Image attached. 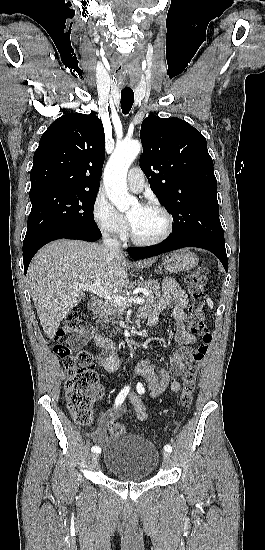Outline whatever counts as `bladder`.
I'll use <instances>...</instances> for the list:
<instances>
[{"label": "bladder", "instance_id": "obj_1", "mask_svg": "<svg viewBox=\"0 0 265 550\" xmlns=\"http://www.w3.org/2000/svg\"><path fill=\"white\" fill-rule=\"evenodd\" d=\"M103 455L109 474L125 481L148 479L158 463L156 447L139 435L111 437Z\"/></svg>", "mask_w": 265, "mask_h": 550}]
</instances>
